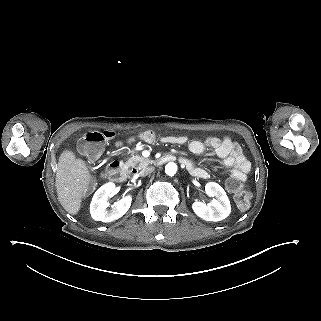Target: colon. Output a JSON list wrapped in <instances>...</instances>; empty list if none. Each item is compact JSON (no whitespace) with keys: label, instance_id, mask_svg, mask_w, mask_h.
I'll list each match as a JSON object with an SVG mask.
<instances>
[{"label":"colon","instance_id":"5ec220e1","mask_svg":"<svg viewBox=\"0 0 321 321\" xmlns=\"http://www.w3.org/2000/svg\"><path fill=\"white\" fill-rule=\"evenodd\" d=\"M115 136L114 131H89L79 141V151L90 157L97 158L106 141ZM244 182L230 178L227 182L228 189L234 194L235 202L240 210H245L250 205V195L244 190Z\"/></svg>","mask_w":321,"mask_h":321}]
</instances>
